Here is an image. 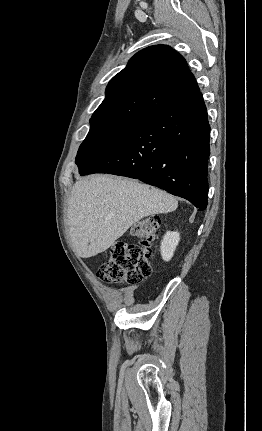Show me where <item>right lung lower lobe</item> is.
I'll return each instance as SVG.
<instances>
[{"label": "right lung lower lobe", "instance_id": "right-lung-lower-lobe-1", "mask_svg": "<svg viewBox=\"0 0 262 431\" xmlns=\"http://www.w3.org/2000/svg\"><path fill=\"white\" fill-rule=\"evenodd\" d=\"M210 126L201 93L135 124L81 175L139 179L205 210Z\"/></svg>", "mask_w": 262, "mask_h": 431}]
</instances>
